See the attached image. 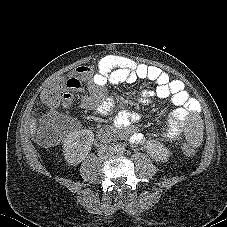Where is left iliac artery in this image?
<instances>
[{
    "mask_svg": "<svg viewBox=\"0 0 227 227\" xmlns=\"http://www.w3.org/2000/svg\"><path fill=\"white\" fill-rule=\"evenodd\" d=\"M117 151L120 152V153H124L126 150H125L124 147H118Z\"/></svg>",
    "mask_w": 227,
    "mask_h": 227,
    "instance_id": "44dca946",
    "label": "left iliac artery"
}]
</instances>
